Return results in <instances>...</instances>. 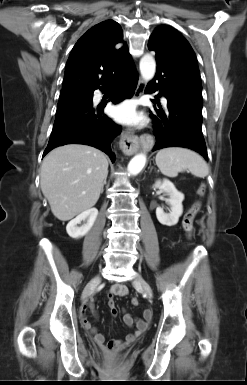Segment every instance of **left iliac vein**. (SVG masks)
<instances>
[{"instance_id":"obj_1","label":"left iliac vein","mask_w":247,"mask_h":385,"mask_svg":"<svg viewBox=\"0 0 247 385\" xmlns=\"http://www.w3.org/2000/svg\"><path fill=\"white\" fill-rule=\"evenodd\" d=\"M133 283L135 286L140 288L147 295L148 298L153 297V292L149 283L140 274L136 275Z\"/></svg>"}]
</instances>
